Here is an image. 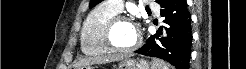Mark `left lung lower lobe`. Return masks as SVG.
<instances>
[{
    "label": "left lung lower lobe",
    "instance_id": "obj_1",
    "mask_svg": "<svg viewBox=\"0 0 246 69\" xmlns=\"http://www.w3.org/2000/svg\"><path fill=\"white\" fill-rule=\"evenodd\" d=\"M164 26L148 37L136 53L157 57L176 69H189L191 53V17L186 0H167L160 5Z\"/></svg>",
    "mask_w": 246,
    "mask_h": 69
}]
</instances>
